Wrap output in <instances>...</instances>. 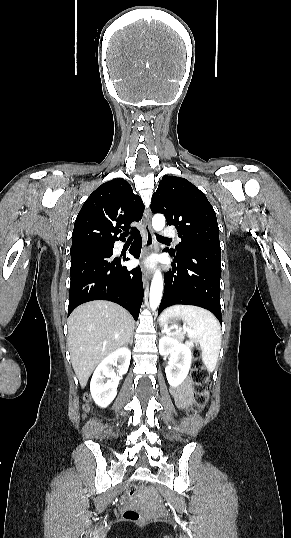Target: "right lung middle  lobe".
I'll return each instance as SVG.
<instances>
[{
  "mask_svg": "<svg viewBox=\"0 0 291 538\" xmlns=\"http://www.w3.org/2000/svg\"><path fill=\"white\" fill-rule=\"evenodd\" d=\"M114 245H106V246H91V247H85V248H79V249H73L70 250L71 258L90 254V253H96V252H106L113 250Z\"/></svg>",
  "mask_w": 291,
  "mask_h": 538,
  "instance_id": "right-lung-middle-lobe-1",
  "label": "right lung middle lobe"
}]
</instances>
